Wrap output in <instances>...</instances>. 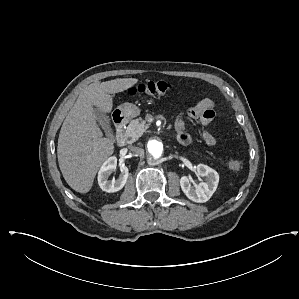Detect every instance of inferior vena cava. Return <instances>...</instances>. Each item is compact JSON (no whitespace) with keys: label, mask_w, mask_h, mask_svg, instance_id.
Masks as SVG:
<instances>
[{"label":"inferior vena cava","mask_w":299,"mask_h":299,"mask_svg":"<svg viewBox=\"0 0 299 299\" xmlns=\"http://www.w3.org/2000/svg\"><path fill=\"white\" fill-rule=\"evenodd\" d=\"M129 150L135 154L141 156L144 153V150L142 148L136 147V146H129Z\"/></svg>","instance_id":"inferior-vena-cava-1"}]
</instances>
